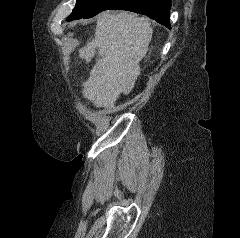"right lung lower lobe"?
Returning a JSON list of instances; mask_svg holds the SVG:
<instances>
[{
    "label": "right lung lower lobe",
    "mask_w": 240,
    "mask_h": 238,
    "mask_svg": "<svg viewBox=\"0 0 240 238\" xmlns=\"http://www.w3.org/2000/svg\"><path fill=\"white\" fill-rule=\"evenodd\" d=\"M171 0H119L110 10H126L144 14L170 28Z\"/></svg>",
    "instance_id": "obj_1"
}]
</instances>
